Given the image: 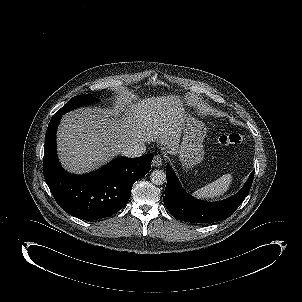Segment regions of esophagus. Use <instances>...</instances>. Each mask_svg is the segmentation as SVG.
I'll return each instance as SVG.
<instances>
[{
    "mask_svg": "<svg viewBox=\"0 0 302 302\" xmlns=\"http://www.w3.org/2000/svg\"><path fill=\"white\" fill-rule=\"evenodd\" d=\"M152 165L154 167H161L163 165V158L160 155H156L153 158Z\"/></svg>",
    "mask_w": 302,
    "mask_h": 302,
    "instance_id": "esophagus-1",
    "label": "esophagus"
}]
</instances>
